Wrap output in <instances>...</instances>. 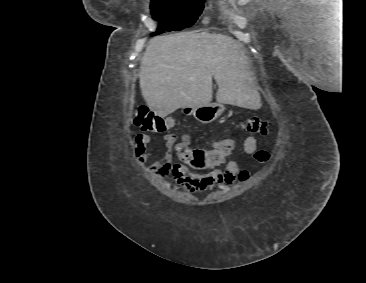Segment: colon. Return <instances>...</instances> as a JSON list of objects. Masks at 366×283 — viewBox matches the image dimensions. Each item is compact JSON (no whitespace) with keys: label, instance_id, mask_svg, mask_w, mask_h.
Returning <instances> with one entry per match:
<instances>
[{"label":"colon","instance_id":"colon-1","mask_svg":"<svg viewBox=\"0 0 366 283\" xmlns=\"http://www.w3.org/2000/svg\"><path fill=\"white\" fill-rule=\"evenodd\" d=\"M133 121L134 124L144 132L162 133L173 125V120L171 118H163L143 105L136 107ZM241 127L249 133L268 135L271 131V122L253 116L242 122ZM216 146L220 147L223 153L227 154L233 148V142L224 139L217 142ZM177 151L180 160L184 164L197 170L205 169L219 160L215 157L212 150H192L188 147L186 142L180 143L177 147ZM254 157L258 162H266L269 159V153L265 150H259L254 154ZM248 178L249 174L247 171L240 172L239 179L241 181H246Z\"/></svg>","mask_w":366,"mask_h":283}]
</instances>
